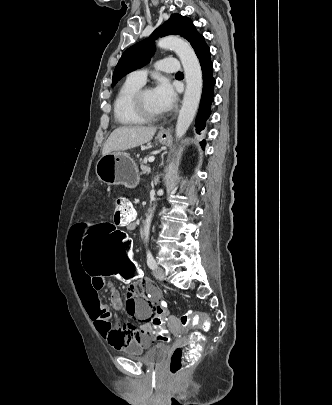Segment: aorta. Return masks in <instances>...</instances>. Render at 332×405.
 I'll return each mask as SVG.
<instances>
[{
    "mask_svg": "<svg viewBox=\"0 0 332 405\" xmlns=\"http://www.w3.org/2000/svg\"><path fill=\"white\" fill-rule=\"evenodd\" d=\"M157 46L162 49L173 50L180 58L184 68L186 90L175 129L176 137L181 138L191 125L199 107L203 89L202 70L193 48L183 39L176 36H166L158 40ZM173 172L174 165L171 162L166 171L165 179L167 182L172 176ZM159 193L163 194V190H159ZM154 210L155 207L150 210L144 222L143 236L145 241L149 239L150 226Z\"/></svg>",
    "mask_w": 332,
    "mask_h": 405,
    "instance_id": "1",
    "label": "aorta"
}]
</instances>
